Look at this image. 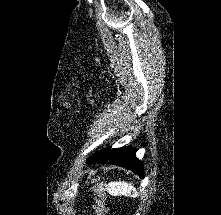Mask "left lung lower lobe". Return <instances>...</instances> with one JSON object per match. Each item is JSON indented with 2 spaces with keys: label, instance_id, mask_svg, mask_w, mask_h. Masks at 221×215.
I'll use <instances>...</instances> for the list:
<instances>
[{
  "label": "left lung lower lobe",
  "instance_id": "left-lung-lower-lobe-1",
  "mask_svg": "<svg viewBox=\"0 0 221 215\" xmlns=\"http://www.w3.org/2000/svg\"><path fill=\"white\" fill-rule=\"evenodd\" d=\"M93 162H109L116 166H121L131 170L142 178L144 177L143 164L136 158L135 150L132 147H122L116 149L108 148L101 157L96 158Z\"/></svg>",
  "mask_w": 221,
  "mask_h": 215
}]
</instances>
